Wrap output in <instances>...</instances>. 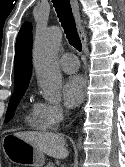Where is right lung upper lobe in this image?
Returning a JSON list of instances; mask_svg holds the SVG:
<instances>
[{"instance_id":"cb5924a9","label":"right lung upper lobe","mask_w":125,"mask_h":167,"mask_svg":"<svg viewBox=\"0 0 125 167\" xmlns=\"http://www.w3.org/2000/svg\"><path fill=\"white\" fill-rule=\"evenodd\" d=\"M32 25L26 22L22 25L16 41L15 50V90L27 89L32 72Z\"/></svg>"}]
</instances>
